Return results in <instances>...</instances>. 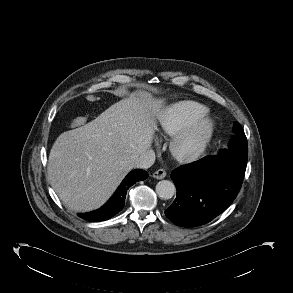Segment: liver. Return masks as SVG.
<instances>
[{
    "label": "liver",
    "instance_id": "6515ba94",
    "mask_svg": "<svg viewBox=\"0 0 293 293\" xmlns=\"http://www.w3.org/2000/svg\"><path fill=\"white\" fill-rule=\"evenodd\" d=\"M162 106L150 93L135 91L56 139L48 179L66 207L87 212L110 198L133 162L149 150Z\"/></svg>",
    "mask_w": 293,
    "mask_h": 293
}]
</instances>
